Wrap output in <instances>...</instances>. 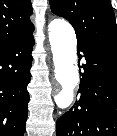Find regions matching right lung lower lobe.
Listing matches in <instances>:
<instances>
[{
    "label": "right lung lower lobe",
    "instance_id": "98d812e1",
    "mask_svg": "<svg viewBox=\"0 0 117 136\" xmlns=\"http://www.w3.org/2000/svg\"><path fill=\"white\" fill-rule=\"evenodd\" d=\"M32 32L0 45V136H23L25 132Z\"/></svg>",
    "mask_w": 117,
    "mask_h": 136
}]
</instances>
